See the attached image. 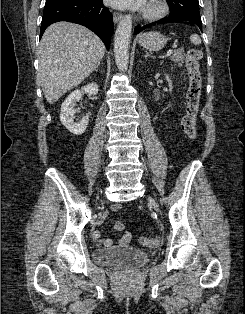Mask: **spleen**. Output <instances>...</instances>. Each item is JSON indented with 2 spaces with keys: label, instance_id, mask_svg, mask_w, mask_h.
<instances>
[{
  "label": "spleen",
  "instance_id": "1",
  "mask_svg": "<svg viewBox=\"0 0 245 314\" xmlns=\"http://www.w3.org/2000/svg\"><path fill=\"white\" fill-rule=\"evenodd\" d=\"M190 41L194 45H200L201 44V38H200V36L198 34H192L190 36Z\"/></svg>",
  "mask_w": 245,
  "mask_h": 314
}]
</instances>
